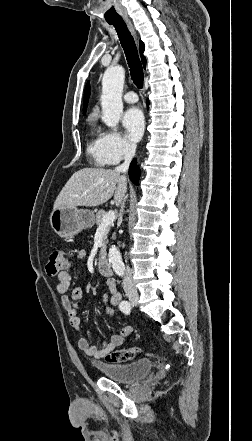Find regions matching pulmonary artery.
Here are the masks:
<instances>
[{"label": "pulmonary artery", "instance_id": "obj_1", "mask_svg": "<svg viewBox=\"0 0 252 441\" xmlns=\"http://www.w3.org/2000/svg\"><path fill=\"white\" fill-rule=\"evenodd\" d=\"M124 101L130 104L136 103L138 101V96L135 92L129 91L124 95Z\"/></svg>", "mask_w": 252, "mask_h": 441}]
</instances>
